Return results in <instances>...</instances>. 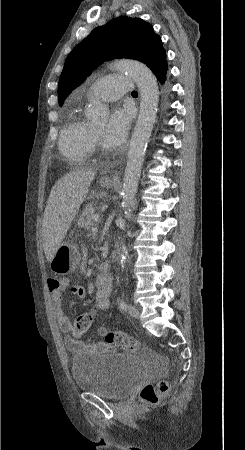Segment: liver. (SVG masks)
Instances as JSON below:
<instances>
[{
	"label": "liver",
	"mask_w": 245,
	"mask_h": 450,
	"mask_svg": "<svg viewBox=\"0 0 245 450\" xmlns=\"http://www.w3.org/2000/svg\"><path fill=\"white\" fill-rule=\"evenodd\" d=\"M95 175L92 168L76 169L53 186L42 222L43 248L48 262L62 244Z\"/></svg>",
	"instance_id": "6515ba94"
}]
</instances>
